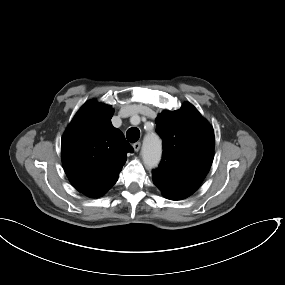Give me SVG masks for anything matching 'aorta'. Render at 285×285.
I'll return each instance as SVG.
<instances>
[{"mask_svg":"<svg viewBox=\"0 0 285 285\" xmlns=\"http://www.w3.org/2000/svg\"><path fill=\"white\" fill-rule=\"evenodd\" d=\"M142 158L147 168H155L161 160L162 146L156 134L146 135L143 141Z\"/></svg>","mask_w":285,"mask_h":285,"instance_id":"1","label":"aorta"}]
</instances>
